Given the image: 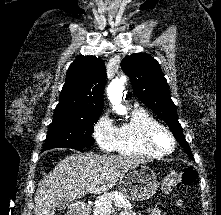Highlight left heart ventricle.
Wrapping results in <instances>:
<instances>
[{
    "label": "left heart ventricle",
    "instance_id": "left-heart-ventricle-1",
    "mask_svg": "<svg viewBox=\"0 0 221 215\" xmlns=\"http://www.w3.org/2000/svg\"><path fill=\"white\" fill-rule=\"evenodd\" d=\"M159 143H160L162 146L166 147V146H168V144H169V140H168V138H167L165 135H161V136L159 137Z\"/></svg>",
    "mask_w": 221,
    "mask_h": 215
}]
</instances>
